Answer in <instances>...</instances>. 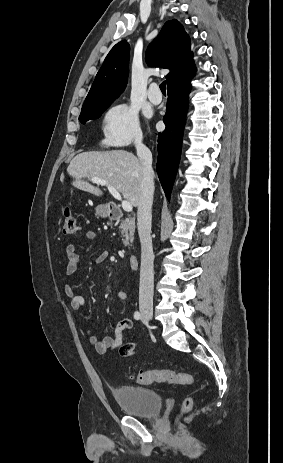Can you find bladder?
<instances>
[{
    "mask_svg": "<svg viewBox=\"0 0 283 463\" xmlns=\"http://www.w3.org/2000/svg\"><path fill=\"white\" fill-rule=\"evenodd\" d=\"M118 405L127 414L139 418H155L162 411L160 395L150 389L136 386H120L113 390Z\"/></svg>",
    "mask_w": 283,
    "mask_h": 463,
    "instance_id": "obj_1",
    "label": "bladder"
}]
</instances>
